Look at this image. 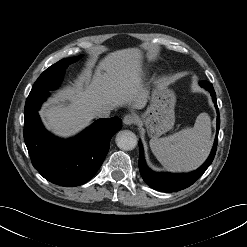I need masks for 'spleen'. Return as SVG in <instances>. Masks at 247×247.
<instances>
[{
    "mask_svg": "<svg viewBox=\"0 0 247 247\" xmlns=\"http://www.w3.org/2000/svg\"><path fill=\"white\" fill-rule=\"evenodd\" d=\"M150 147L167 170L197 168L205 161L212 147L210 117L207 113H201L191 128H184L168 137H152Z\"/></svg>",
    "mask_w": 247,
    "mask_h": 247,
    "instance_id": "spleen-1",
    "label": "spleen"
}]
</instances>
